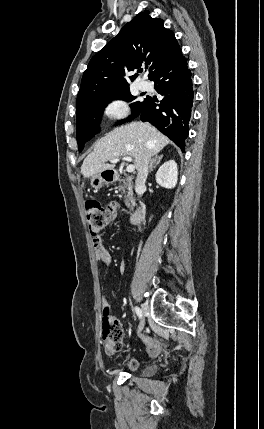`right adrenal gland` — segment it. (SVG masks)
Here are the masks:
<instances>
[{"mask_svg": "<svg viewBox=\"0 0 264 429\" xmlns=\"http://www.w3.org/2000/svg\"><path fill=\"white\" fill-rule=\"evenodd\" d=\"M162 158H163V155H160V156L155 155V157L150 162L149 173H151L156 168V166L160 163Z\"/></svg>", "mask_w": 264, "mask_h": 429, "instance_id": "2a0ac1e0", "label": "right adrenal gland"}]
</instances>
